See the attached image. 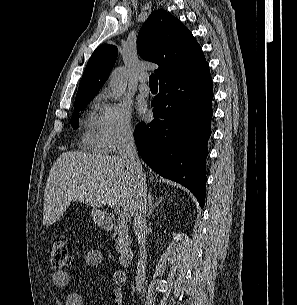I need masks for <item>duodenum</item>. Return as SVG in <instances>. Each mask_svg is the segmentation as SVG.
I'll use <instances>...</instances> for the list:
<instances>
[{
  "instance_id": "1",
  "label": "duodenum",
  "mask_w": 297,
  "mask_h": 305,
  "mask_svg": "<svg viewBox=\"0 0 297 305\" xmlns=\"http://www.w3.org/2000/svg\"><path fill=\"white\" fill-rule=\"evenodd\" d=\"M99 222L101 226L107 229H112L113 228V222L111 218L107 215H103L100 217ZM134 258V252L129 244V242L126 239L122 240L121 243V250L119 253V262L122 266H129Z\"/></svg>"
}]
</instances>
